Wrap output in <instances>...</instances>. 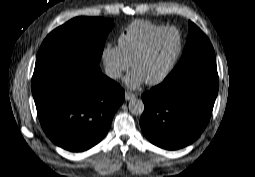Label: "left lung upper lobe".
Masks as SVG:
<instances>
[{
  "instance_id": "left-lung-upper-lobe-1",
  "label": "left lung upper lobe",
  "mask_w": 255,
  "mask_h": 177,
  "mask_svg": "<svg viewBox=\"0 0 255 177\" xmlns=\"http://www.w3.org/2000/svg\"><path fill=\"white\" fill-rule=\"evenodd\" d=\"M206 65H216L213 47L200 28L189 21V35L182 58L165 80L179 76L190 69Z\"/></svg>"
}]
</instances>
